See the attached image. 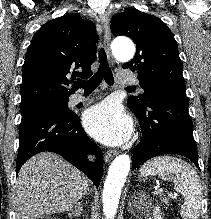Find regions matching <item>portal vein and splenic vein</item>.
Returning <instances> with one entry per match:
<instances>
[{"label": "portal vein and splenic vein", "instance_id": "1", "mask_svg": "<svg viewBox=\"0 0 211 219\" xmlns=\"http://www.w3.org/2000/svg\"><path fill=\"white\" fill-rule=\"evenodd\" d=\"M163 192L162 188H158L154 191L155 194H161ZM169 196H171L172 198H177L176 194H169Z\"/></svg>", "mask_w": 211, "mask_h": 219}]
</instances>
